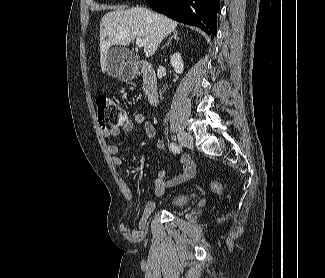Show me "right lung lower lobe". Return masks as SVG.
<instances>
[{
	"instance_id": "98d812e1",
	"label": "right lung lower lobe",
	"mask_w": 325,
	"mask_h": 278,
	"mask_svg": "<svg viewBox=\"0 0 325 278\" xmlns=\"http://www.w3.org/2000/svg\"><path fill=\"white\" fill-rule=\"evenodd\" d=\"M152 8L176 21L201 28L210 36L217 31L219 0H146Z\"/></svg>"
}]
</instances>
